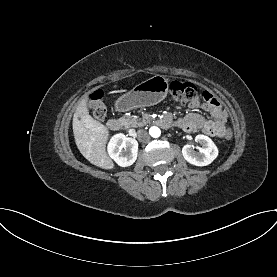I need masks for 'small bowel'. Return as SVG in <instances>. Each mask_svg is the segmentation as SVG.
I'll list each match as a JSON object with an SVG mask.
<instances>
[{"label":"small bowel","mask_w":277,"mask_h":277,"mask_svg":"<svg viewBox=\"0 0 277 277\" xmlns=\"http://www.w3.org/2000/svg\"><path fill=\"white\" fill-rule=\"evenodd\" d=\"M203 102L195 100L189 104L191 109L202 108L209 117H204L199 113L190 112L178 119L173 120L170 115H166L162 120L164 125H174L187 132H197L201 130L206 135L217 138H224V130L227 129V113L223 109L219 100L209 91L202 93Z\"/></svg>","instance_id":"1"}]
</instances>
